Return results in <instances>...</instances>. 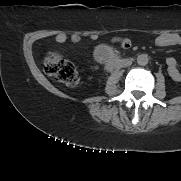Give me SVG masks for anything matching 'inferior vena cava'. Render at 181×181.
<instances>
[{"instance_id":"obj_1","label":"inferior vena cava","mask_w":181,"mask_h":181,"mask_svg":"<svg viewBox=\"0 0 181 181\" xmlns=\"http://www.w3.org/2000/svg\"><path fill=\"white\" fill-rule=\"evenodd\" d=\"M132 64V61L131 60H129V59H124V60H122V62H121V67H128V66H130Z\"/></svg>"}]
</instances>
